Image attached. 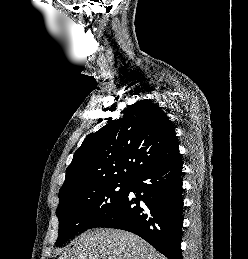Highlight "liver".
<instances>
[{
	"mask_svg": "<svg viewBox=\"0 0 248 259\" xmlns=\"http://www.w3.org/2000/svg\"><path fill=\"white\" fill-rule=\"evenodd\" d=\"M58 259H166L139 236L122 230L95 229L81 234Z\"/></svg>",
	"mask_w": 248,
	"mask_h": 259,
	"instance_id": "obj_1",
	"label": "liver"
}]
</instances>
